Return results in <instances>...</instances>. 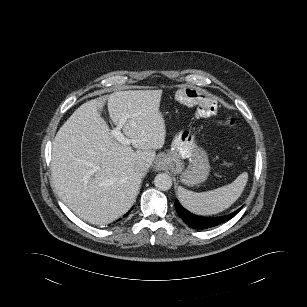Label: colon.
<instances>
[{"instance_id":"colon-1","label":"colon","mask_w":307,"mask_h":307,"mask_svg":"<svg viewBox=\"0 0 307 307\" xmlns=\"http://www.w3.org/2000/svg\"><path fill=\"white\" fill-rule=\"evenodd\" d=\"M218 124L222 127H233L234 124H235V121L231 118H228V119H225V120H222V121H219Z\"/></svg>"}]
</instances>
